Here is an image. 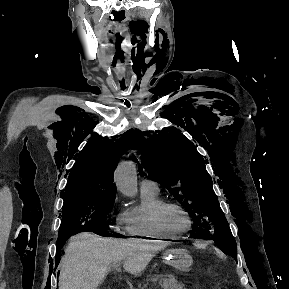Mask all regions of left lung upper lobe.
<instances>
[{
  "mask_svg": "<svg viewBox=\"0 0 289 289\" xmlns=\"http://www.w3.org/2000/svg\"><path fill=\"white\" fill-rule=\"evenodd\" d=\"M141 150L142 165L148 169V176L168 189L193 219L190 237L214 240L237 261L235 239L212 188L204 159L194 144L170 129L151 136Z\"/></svg>",
  "mask_w": 289,
  "mask_h": 289,
  "instance_id": "1",
  "label": "left lung upper lobe"
}]
</instances>
